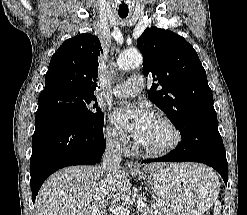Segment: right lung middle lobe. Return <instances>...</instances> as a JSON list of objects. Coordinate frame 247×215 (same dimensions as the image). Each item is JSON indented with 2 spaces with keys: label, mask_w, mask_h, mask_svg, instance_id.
Returning a JSON list of instances; mask_svg holds the SVG:
<instances>
[{
  "label": "right lung middle lobe",
  "mask_w": 247,
  "mask_h": 215,
  "mask_svg": "<svg viewBox=\"0 0 247 215\" xmlns=\"http://www.w3.org/2000/svg\"><path fill=\"white\" fill-rule=\"evenodd\" d=\"M93 94H84L68 88L41 92L38 111H50L92 127L103 125L104 117Z\"/></svg>",
  "instance_id": "obj_1"
}]
</instances>
